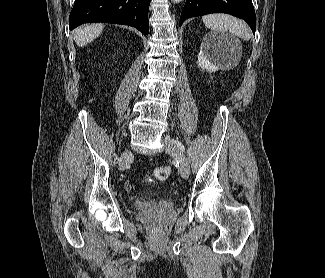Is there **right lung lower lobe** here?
Returning <instances> with one entry per match:
<instances>
[{"mask_svg": "<svg viewBox=\"0 0 325 278\" xmlns=\"http://www.w3.org/2000/svg\"><path fill=\"white\" fill-rule=\"evenodd\" d=\"M150 0H75L70 30L84 23L104 22L130 25L144 35L149 32Z\"/></svg>", "mask_w": 325, "mask_h": 278, "instance_id": "obj_1", "label": "right lung lower lobe"}]
</instances>
